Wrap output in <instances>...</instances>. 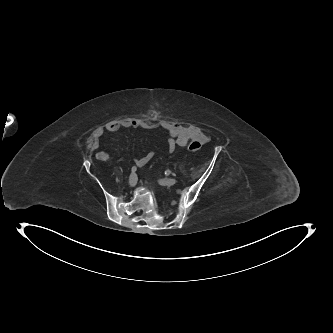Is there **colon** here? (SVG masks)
Here are the masks:
<instances>
[{"label":"colon","instance_id":"5ec220e1","mask_svg":"<svg viewBox=\"0 0 333 333\" xmlns=\"http://www.w3.org/2000/svg\"><path fill=\"white\" fill-rule=\"evenodd\" d=\"M202 145H203V143L200 140L195 139L190 142L188 148L190 151L195 152V151H198L202 147Z\"/></svg>","mask_w":333,"mask_h":333}]
</instances>
